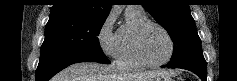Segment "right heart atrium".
Segmentation results:
<instances>
[{
  "label": "right heart atrium",
  "instance_id": "obj_1",
  "mask_svg": "<svg viewBox=\"0 0 237 81\" xmlns=\"http://www.w3.org/2000/svg\"><path fill=\"white\" fill-rule=\"evenodd\" d=\"M97 41L101 51L109 58H116L118 40L114 31V18L109 14L103 20L98 32Z\"/></svg>",
  "mask_w": 237,
  "mask_h": 81
}]
</instances>
